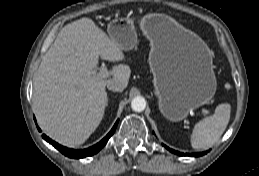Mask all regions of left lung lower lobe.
<instances>
[{
  "mask_svg": "<svg viewBox=\"0 0 259 176\" xmlns=\"http://www.w3.org/2000/svg\"><path fill=\"white\" fill-rule=\"evenodd\" d=\"M170 151H171V152H175V153H177V154H181V153H178V152L173 151V150H171V149H170ZM203 154H205V153L192 154V156H201V155H203ZM181 155H183V154H181ZM187 155H188V154H187Z\"/></svg>",
  "mask_w": 259,
  "mask_h": 176,
  "instance_id": "obj_1",
  "label": "left lung lower lobe"
}]
</instances>
